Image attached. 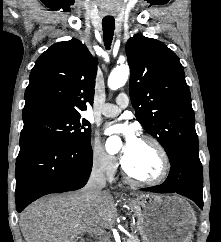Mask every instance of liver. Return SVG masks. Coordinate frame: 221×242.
<instances>
[{"instance_id": "liver-1", "label": "liver", "mask_w": 221, "mask_h": 242, "mask_svg": "<svg viewBox=\"0 0 221 242\" xmlns=\"http://www.w3.org/2000/svg\"><path fill=\"white\" fill-rule=\"evenodd\" d=\"M116 216L110 193L89 202L80 190L32 203L21 214L19 225L26 242H78L79 235L111 227Z\"/></svg>"}]
</instances>
